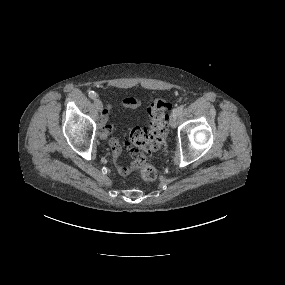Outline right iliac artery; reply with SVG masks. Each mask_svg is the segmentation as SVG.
<instances>
[{"instance_id": "right-iliac-artery-1", "label": "right iliac artery", "mask_w": 285, "mask_h": 285, "mask_svg": "<svg viewBox=\"0 0 285 285\" xmlns=\"http://www.w3.org/2000/svg\"><path fill=\"white\" fill-rule=\"evenodd\" d=\"M89 97H90L91 99H96L97 94H96L94 91H90V92H89Z\"/></svg>"}]
</instances>
